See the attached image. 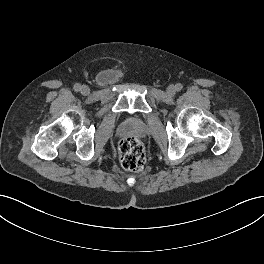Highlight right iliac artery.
<instances>
[{
    "label": "right iliac artery",
    "mask_w": 264,
    "mask_h": 264,
    "mask_svg": "<svg viewBox=\"0 0 264 264\" xmlns=\"http://www.w3.org/2000/svg\"><path fill=\"white\" fill-rule=\"evenodd\" d=\"M80 89H81V85L80 84L77 83V84L74 85V90L75 91H80Z\"/></svg>",
    "instance_id": "obj_1"
}]
</instances>
